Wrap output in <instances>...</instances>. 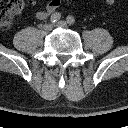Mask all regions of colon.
<instances>
[{"mask_svg":"<svg viewBox=\"0 0 128 128\" xmlns=\"http://www.w3.org/2000/svg\"><path fill=\"white\" fill-rule=\"evenodd\" d=\"M107 4H113L116 0H103ZM25 5L24 0H0V28H9L14 17L21 13Z\"/></svg>","mask_w":128,"mask_h":128,"instance_id":"colon-1","label":"colon"}]
</instances>
